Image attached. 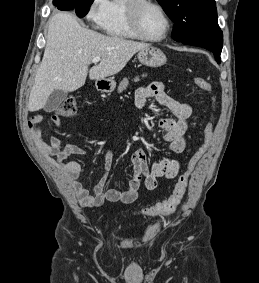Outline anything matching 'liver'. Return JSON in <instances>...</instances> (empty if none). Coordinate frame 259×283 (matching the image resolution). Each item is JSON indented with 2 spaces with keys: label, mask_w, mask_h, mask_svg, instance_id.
I'll return each instance as SVG.
<instances>
[{
  "label": "liver",
  "mask_w": 259,
  "mask_h": 283,
  "mask_svg": "<svg viewBox=\"0 0 259 283\" xmlns=\"http://www.w3.org/2000/svg\"><path fill=\"white\" fill-rule=\"evenodd\" d=\"M148 46L84 28L72 13H56L49 21L46 47L31 89L28 110L42 109L54 90L79 89L88 73L91 80L117 74L136 52ZM95 57L101 61L89 70Z\"/></svg>",
  "instance_id": "6515ba94"
}]
</instances>
